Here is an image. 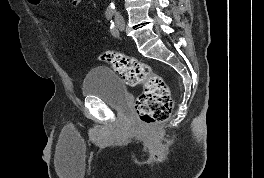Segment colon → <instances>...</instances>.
<instances>
[{
  "label": "colon",
  "mask_w": 264,
  "mask_h": 178,
  "mask_svg": "<svg viewBox=\"0 0 264 178\" xmlns=\"http://www.w3.org/2000/svg\"><path fill=\"white\" fill-rule=\"evenodd\" d=\"M30 2L40 4L41 0ZM98 60L112 66L126 84L143 85L135 102L136 113L143 123L162 122L169 118L174 106L169 88L161 76L151 71L149 65L115 51L100 53Z\"/></svg>",
  "instance_id": "1"
}]
</instances>
